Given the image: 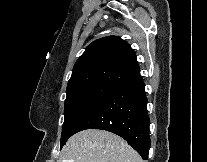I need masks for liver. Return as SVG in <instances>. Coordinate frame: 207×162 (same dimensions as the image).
Instances as JSON below:
<instances>
[{
	"label": "liver",
	"instance_id": "obj_1",
	"mask_svg": "<svg viewBox=\"0 0 207 162\" xmlns=\"http://www.w3.org/2000/svg\"><path fill=\"white\" fill-rule=\"evenodd\" d=\"M144 162L121 137L105 130L88 129L71 136L59 162Z\"/></svg>",
	"mask_w": 207,
	"mask_h": 162
}]
</instances>
